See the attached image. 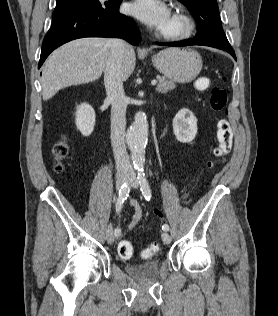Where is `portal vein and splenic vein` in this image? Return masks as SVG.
Instances as JSON below:
<instances>
[{
	"label": "portal vein and splenic vein",
	"mask_w": 278,
	"mask_h": 316,
	"mask_svg": "<svg viewBox=\"0 0 278 316\" xmlns=\"http://www.w3.org/2000/svg\"><path fill=\"white\" fill-rule=\"evenodd\" d=\"M156 83H157V81H156V80L151 81V85H152V86H155V85H156Z\"/></svg>",
	"instance_id": "18ae733b"
}]
</instances>
